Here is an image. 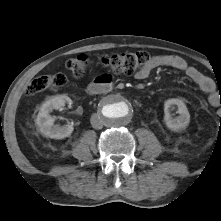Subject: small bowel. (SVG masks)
<instances>
[{
  "label": "small bowel",
  "instance_id": "c3829d8e",
  "mask_svg": "<svg viewBox=\"0 0 221 221\" xmlns=\"http://www.w3.org/2000/svg\"><path fill=\"white\" fill-rule=\"evenodd\" d=\"M157 67H168L184 72L197 86L208 96V101L212 106L221 104V97L216 92L215 84L206 75L194 66L189 65L183 58L175 55H157L152 57L135 75L137 79L147 78Z\"/></svg>",
  "mask_w": 221,
  "mask_h": 221
}]
</instances>
